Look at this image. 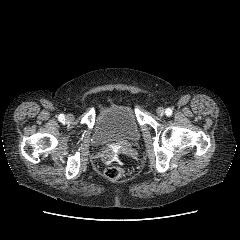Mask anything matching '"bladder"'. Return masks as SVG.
Segmentation results:
<instances>
[{
    "label": "bladder",
    "mask_w": 240,
    "mask_h": 240,
    "mask_svg": "<svg viewBox=\"0 0 240 240\" xmlns=\"http://www.w3.org/2000/svg\"><path fill=\"white\" fill-rule=\"evenodd\" d=\"M140 137V126L135 113L126 106L117 105L100 113L93 129L92 140L96 146L133 145Z\"/></svg>",
    "instance_id": "bladder-1"
}]
</instances>
